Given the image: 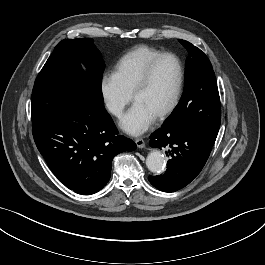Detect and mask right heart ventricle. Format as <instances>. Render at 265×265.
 Instances as JSON below:
<instances>
[{"label": "right heart ventricle", "mask_w": 265, "mask_h": 265, "mask_svg": "<svg viewBox=\"0 0 265 265\" xmlns=\"http://www.w3.org/2000/svg\"><path fill=\"white\" fill-rule=\"evenodd\" d=\"M159 54H161L159 50L141 45L129 50L117 61L112 75L124 92L131 95L146 65Z\"/></svg>", "instance_id": "right-heart-ventricle-1"}]
</instances>
